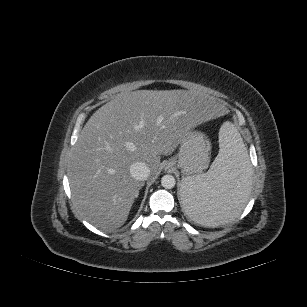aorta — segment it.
<instances>
[{
	"label": "aorta",
	"instance_id": "1",
	"mask_svg": "<svg viewBox=\"0 0 307 307\" xmlns=\"http://www.w3.org/2000/svg\"><path fill=\"white\" fill-rule=\"evenodd\" d=\"M176 184V180L174 178V176L172 175H164L161 178V185L165 188V189H172Z\"/></svg>",
	"mask_w": 307,
	"mask_h": 307
}]
</instances>
